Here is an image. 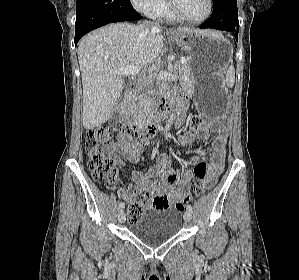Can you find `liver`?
Returning a JSON list of instances; mask_svg holds the SVG:
<instances>
[{
    "label": "liver",
    "mask_w": 299,
    "mask_h": 280,
    "mask_svg": "<svg viewBox=\"0 0 299 280\" xmlns=\"http://www.w3.org/2000/svg\"><path fill=\"white\" fill-rule=\"evenodd\" d=\"M178 32L199 30L178 28ZM163 48L162 28L116 23L85 35L78 45L83 85L82 123L93 129L105 123L124 88L121 75L111 70L136 66L146 70Z\"/></svg>",
    "instance_id": "6515ba94"
}]
</instances>
